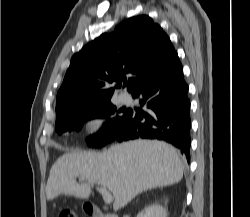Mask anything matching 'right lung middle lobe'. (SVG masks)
Segmentation results:
<instances>
[{
    "mask_svg": "<svg viewBox=\"0 0 250 217\" xmlns=\"http://www.w3.org/2000/svg\"><path fill=\"white\" fill-rule=\"evenodd\" d=\"M116 107L109 101H105L84 109L73 111L62 118L56 120V131L58 134L80 130L85 121L93 118H108L102 129L87 140L91 147H102L116 139L121 129L129 119L130 110L120 109L123 116L114 114Z\"/></svg>",
    "mask_w": 250,
    "mask_h": 217,
    "instance_id": "right-lung-middle-lobe-1",
    "label": "right lung middle lobe"
}]
</instances>
